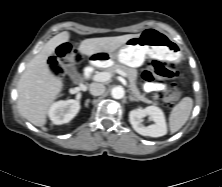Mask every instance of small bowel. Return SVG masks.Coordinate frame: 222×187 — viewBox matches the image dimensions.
I'll use <instances>...</instances> for the list:
<instances>
[{"label":"small bowel","mask_w":222,"mask_h":187,"mask_svg":"<svg viewBox=\"0 0 222 187\" xmlns=\"http://www.w3.org/2000/svg\"><path fill=\"white\" fill-rule=\"evenodd\" d=\"M143 89L147 92H154L164 89V84L161 82H145L143 83Z\"/></svg>","instance_id":"small-bowel-1"}]
</instances>
